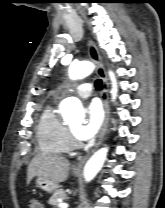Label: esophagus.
<instances>
[{
  "mask_svg": "<svg viewBox=\"0 0 165 208\" xmlns=\"http://www.w3.org/2000/svg\"><path fill=\"white\" fill-rule=\"evenodd\" d=\"M88 48H89V54L91 56V59L96 65V72H97L98 76L102 79L103 90H102V93H101V97H102V101H103L105 117H104L103 125H102V128H101L100 134H99V138H98V141H97L95 147L92 149L91 152L86 154L83 158H81L78 161L77 164H75L73 166L74 170H81L82 169L83 164L88 159L90 154L92 152H94L95 149L97 147H99V145L102 143V141L104 139V136H105V133L107 131V126H108V116H109L108 88H109V83H108V80H107L106 72H105V69H104V65H103L100 53H99L95 43L92 40H89Z\"/></svg>",
  "mask_w": 165,
  "mask_h": 208,
  "instance_id": "esophagus-1",
  "label": "esophagus"
}]
</instances>
